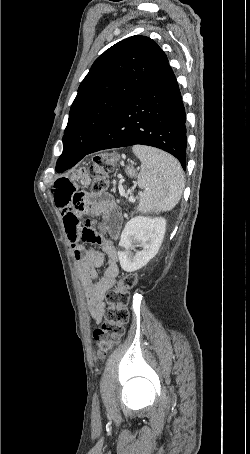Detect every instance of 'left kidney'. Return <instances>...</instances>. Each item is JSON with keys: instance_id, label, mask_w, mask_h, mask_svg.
Listing matches in <instances>:
<instances>
[{"instance_id": "left-kidney-1", "label": "left kidney", "mask_w": 250, "mask_h": 454, "mask_svg": "<svg viewBox=\"0 0 250 454\" xmlns=\"http://www.w3.org/2000/svg\"><path fill=\"white\" fill-rule=\"evenodd\" d=\"M166 231L162 217L136 216L129 220L119 242L118 258L122 269L133 272L145 266L158 253ZM135 246L141 251L133 253Z\"/></svg>"}]
</instances>
